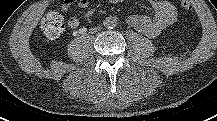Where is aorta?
<instances>
[{
    "label": "aorta",
    "mask_w": 217,
    "mask_h": 121,
    "mask_svg": "<svg viewBox=\"0 0 217 121\" xmlns=\"http://www.w3.org/2000/svg\"><path fill=\"white\" fill-rule=\"evenodd\" d=\"M103 25L109 29L114 28L117 25L116 17H112V16L106 17V19L103 22Z\"/></svg>",
    "instance_id": "762f6f07"
}]
</instances>
